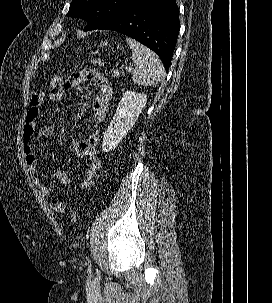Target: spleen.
I'll list each match as a JSON object with an SVG mask.
<instances>
[{"label":"spleen","instance_id":"3e777b00","mask_svg":"<svg viewBox=\"0 0 272 303\" xmlns=\"http://www.w3.org/2000/svg\"><path fill=\"white\" fill-rule=\"evenodd\" d=\"M132 50V60L135 64L133 82L143 86H154L166 75L164 66L158 56L138 41L127 38Z\"/></svg>","mask_w":272,"mask_h":303}]
</instances>
